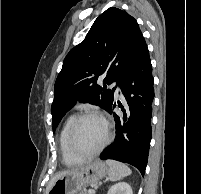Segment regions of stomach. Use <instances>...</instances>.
Instances as JSON below:
<instances>
[{"instance_id":"0dacf381","label":"stomach","mask_w":201,"mask_h":194,"mask_svg":"<svg viewBox=\"0 0 201 194\" xmlns=\"http://www.w3.org/2000/svg\"><path fill=\"white\" fill-rule=\"evenodd\" d=\"M108 170L103 162L89 163L73 173L60 177L48 194H78L86 186L99 182L108 174Z\"/></svg>"}]
</instances>
